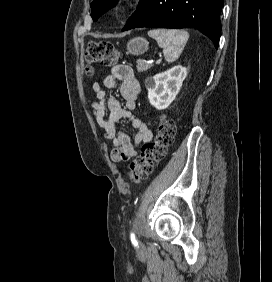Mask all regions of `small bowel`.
<instances>
[{
	"label": "small bowel",
	"mask_w": 272,
	"mask_h": 282,
	"mask_svg": "<svg viewBox=\"0 0 272 282\" xmlns=\"http://www.w3.org/2000/svg\"><path fill=\"white\" fill-rule=\"evenodd\" d=\"M118 85L120 94L125 100L124 107L116 98L107 96V92L114 90ZM92 88L97 99L91 104L92 114L96 123L104 130L105 138L112 141L110 158L120 162L133 157L136 154L137 145L150 142L153 132L132 112L141 91L132 68L128 65H115L102 83L95 82ZM120 119H128L136 129L133 140L117 129L116 124Z\"/></svg>",
	"instance_id": "1"
}]
</instances>
